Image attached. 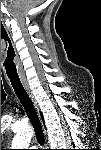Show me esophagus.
<instances>
[{"instance_id":"1","label":"esophagus","mask_w":101,"mask_h":150,"mask_svg":"<svg viewBox=\"0 0 101 150\" xmlns=\"http://www.w3.org/2000/svg\"><path fill=\"white\" fill-rule=\"evenodd\" d=\"M22 84H23L25 90L27 91L29 97L31 98V100H32V102H33L35 108L37 109V111H39L37 102H36V100H35V97H34L32 91H31L29 85H28V82H27L25 79H22Z\"/></svg>"}]
</instances>
